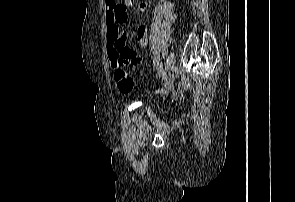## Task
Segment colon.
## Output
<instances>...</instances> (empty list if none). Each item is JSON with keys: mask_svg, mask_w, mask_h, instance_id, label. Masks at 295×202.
Here are the masks:
<instances>
[{"mask_svg": "<svg viewBox=\"0 0 295 202\" xmlns=\"http://www.w3.org/2000/svg\"><path fill=\"white\" fill-rule=\"evenodd\" d=\"M113 69L114 78L118 89L125 94L132 92L135 88V83L129 71V63L124 61H117Z\"/></svg>", "mask_w": 295, "mask_h": 202, "instance_id": "1", "label": "colon"}]
</instances>
